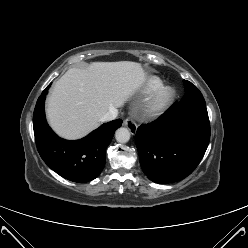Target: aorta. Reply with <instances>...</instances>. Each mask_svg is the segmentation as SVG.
Returning a JSON list of instances; mask_svg holds the SVG:
<instances>
[{
	"label": "aorta",
	"mask_w": 248,
	"mask_h": 248,
	"mask_svg": "<svg viewBox=\"0 0 248 248\" xmlns=\"http://www.w3.org/2000/svg\"><path fill=\"white\" fill-rule=\"evenodd\" d=\"M115 138L119 143H127L130 140V132L127 128L121 127L117 129Z\"/></svg>",
	"instance_id": "obj_1"
}]
</instances>
